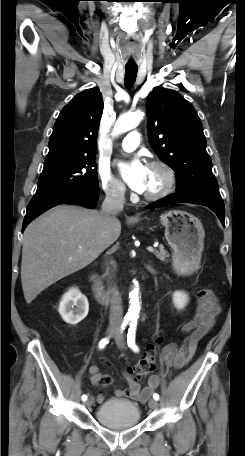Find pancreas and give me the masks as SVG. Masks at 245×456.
<instances>
[{
  "label": "pancreas",
  "instance_id": "cf45deb5",
  "mask_svg": "<svg viewBox=\"0 0 245 456\" xmlns=\"http://www.w3.org/2000/svg\"><path fill=\"white\" fill-rule=\"evenodd\" d=\"M155 256L161 260L162 262H165V261H168L167 258L169 257V254L167 253V251L164 249V246L163 245H160L159 246V250L156 251L155 253Z\"/></svg>",
  "mask_w": 245,
  "mask_h": 456
}]
</instances>
